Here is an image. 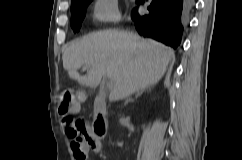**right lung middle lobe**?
<instances>
[{
    "label": "right lung middle lobe",
    "mask_w": 242,
    "mask_h": 160,
    "mask_svg": "<svg viewBox=\"0 0 242 160\" xmlns=\"http://www.w3.org/2000/svg\"><path fill=\"white\" fill-rule=\"evenodd\" d=\"M92 0H75L71 2V26L74 32L80 30L81 22L84 17V10Z\"/></svg>",
    "instance_id": "obj_1"
}]
</instances>
